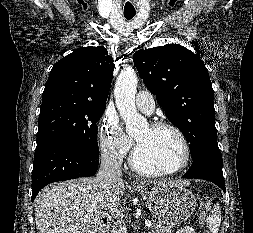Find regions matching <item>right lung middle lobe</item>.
I'll list each match as a JSON object with an SVG mask.
<instances>
[{
	"label": "right lung middle lobe",
	"instance_id": "dd1d6c3e",
	"mask_svg": "<svg viewBox=\"0 0 253 233\" xmlns=\"http://www.w3.org/2000/svg\"><path fill=\"white\" fill-rule=\"evenodd\" d=\"M105 107L106 104L92 102L42 103L37 146L49 141H58L98 153L97 122Z\"/></svg>",
	"mask_w": 253,
	"mask_h": 233
}]
</instances>
